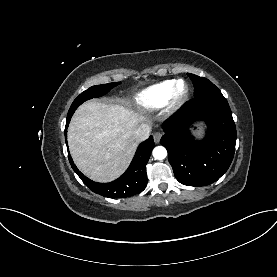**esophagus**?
Listing matches in <instances>:
<instances>
[{
    "label": "esophagus",
    "instance_id": "34e87169",
    "mask_svg": "<svg viewBox=\"0 0 277 277\" xmlns=\"http://www.w3.org/2000/svg\"><path fill=\"white\" fill-rule=\"evenodd\" d=\"M161 137H162V133L161 132H155L154 135H153L154 142L155 143H159Z\"/></svg>",
    "mask_w": 277,
    "mask_h": 277
}]
</instances>
